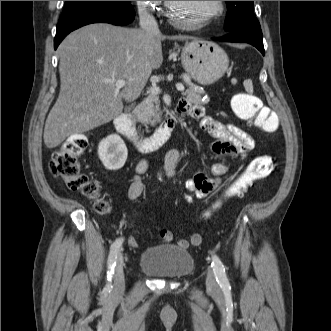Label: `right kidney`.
Here are the masks:
<instances>
[{
    "mask_svg": "<svg viewBox=\"0 0 331 331\" xmlns=\"http://www.w3.org/2000/svg\"><path fill=\"white\" fill-rule=\"evenodd\" d=\"M98 155L106 169L118 170L124 166L128 151L121 137L112 134L99 143Z\"/></svg>",
    "mask_w": 331,
    "mask_h": 331,
    "instance_id": "obj_1",
    "label": "right kidney"
}]
</instances>
